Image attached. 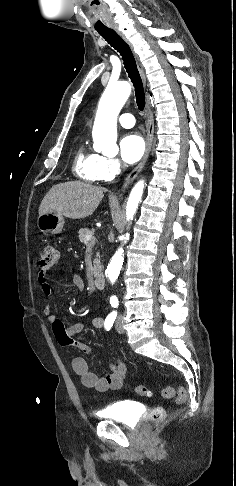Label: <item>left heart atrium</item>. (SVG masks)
I'll use <instances>...</instances> for the list:
<instances>
[{
	"mask_svg": "<svg viewBox=\"0 0 236 486\" xmlns=\"http://www.w3.org/2000/svg\"><path fill=\"white\" fill-rule=\"evenodd\" d=\"M144 150V141L137 134H127L120 141L121 157L127 164L137 162L142 157Z\"/></svg>",
	"mask_w": 236,
	"mask_h": 486,
	"instance_id": "left-heart-atrium-1",
	"label": "left heart atrium"
}]
</instances>
